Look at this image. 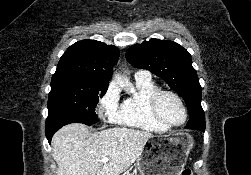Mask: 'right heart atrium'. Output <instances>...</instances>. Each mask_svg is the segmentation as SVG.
<instances>
[{
    "instance_id": "1",
    "label": "right heart atrium",
    "mask_w": 251,
    "mask_h": 175,
    "mask_svg": "<svg viewBox=\"0 0 251 175\" xmlns=\"http://www.w3.org/2000/svg\"><path fill=\"white\" fill-rule=\"evenodd\" d=\"M120 93L115 82H110L99 97L96 104V113L104 122L116 121L119 112Z\"/></svg>"
}]
</instances>
